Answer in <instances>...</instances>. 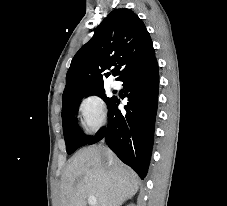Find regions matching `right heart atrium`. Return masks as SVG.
<instances>
[{"label":"right heart atrium","instance_id":"right-heart-atrium-1","mask_svg":"<svg viewBox=\"0 0 227 206\" xmlns=\"http://www.w3.org/2000/svg\"><path fill=\"white\" fill-rule=\"evenodd\" d=\"M79 116L84 129L89 133L97 132L107 121V111L103 100L90 94L78 106Z\"/></svg>","mask_w":227,"mask_h":206}]
</instances>
